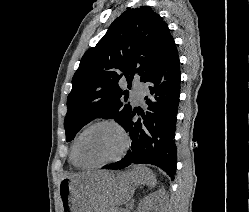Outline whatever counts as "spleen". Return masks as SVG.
Returning <instances> with one entry per match:
<instances>
[{"label": "spleen", "instance_id": "obj_1", "mask_svg": "<svg viewBox=\"0 0 249 212\" xmlns=\"http://www.w3.org/2000/svg\"><path fill=\"white\" fill-rule=\"evenodd\" d=\"M146 170L150 176H147L145 184H148V186H152V188H154L156 184L154 174H151L149 168H146Z\"/></svg>", "mask_w": 249, "mask_h": 212}]
</instances>
